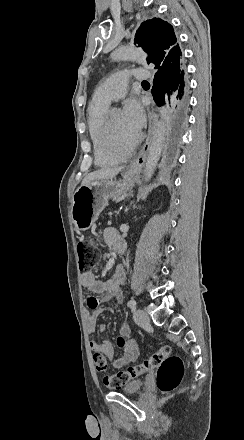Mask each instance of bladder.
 <instances>
[{
    "instance_id": "31cf9c89",
    "label": "bladder",
    "mask_w": 244,
    "mask_h": 440,
    "mask_svg": "<svg viewBox=\"0 0 244 440\" xmlns=\"http://www.w3.org/2000/svg\"><path fill=\"white\" fill-rule=\"evenodd\" d=\"M144 386V380L134 379L129 384L121 387L122 393L125 394H136L138 393Z\"/></svg>"
}]
</instances>
